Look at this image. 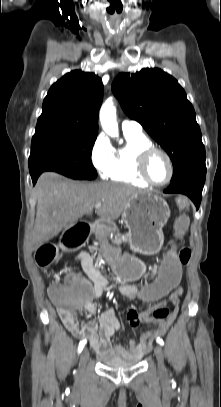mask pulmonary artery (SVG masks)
<instances>
[{
	"label": "pulmonary artery",
	"instance_id": "e3ab8cb5",
	"mask_svg": "<svg viewBox=\"0 0 221 407\" xmlns=\"http://www.w3.org/2000/svg\"><path fill=\"white\" fill-rule=\"evenodd\" d=\"M121 127L123 132L142 133V126L134 120H124Z\"/></svg>",
	"mask_w": 221,
	"mask_h": 407
}]
</instances>
